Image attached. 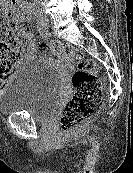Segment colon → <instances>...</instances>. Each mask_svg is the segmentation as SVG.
<instances>
[{"label":"colon","mask_w":133,"mask_h":173,"mask_svg":"<svg viewBox=\"0 0 133 173\" xmlns=\"http://www.w3.org/2000/svg\"><path fill=\"white\" fill-rule=\"evenodd\" d=\"M5 41H0V89L8 81L16 64V55L10 48L8 41L25 32L24 27L18 25L11 14H6L0 20ZM51 51L69 58L74 64L71 76L73 93L65 104L59 124L63 131L71 132L90 119L102 103V84L98 78L95 62L84 56L72 46L51 42Z\"/></svg>","instance_id":"1"}]
</instances>
